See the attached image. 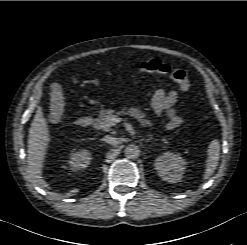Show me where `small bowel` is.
<instances>
[{"label":"small bowel","instance_id":"small-bowel-1","mask_svg":"<svg viewBox=\"0 0 247 245\" xmlns=\"http://www.w3.org/2000/svg\"><path fill=\"white\" fill-rule=\"evenodd\" d=\"M178 96L174 90L157 89L151 101V107L156 114L164 113L167 118L175 115L174 105Z\"/></svg>","mask_w":247,"mask_h":245}]
</instances>
